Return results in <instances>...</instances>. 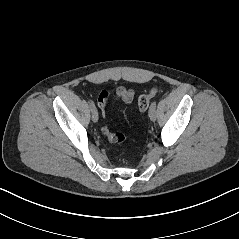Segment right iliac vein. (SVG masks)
<instances>
[{
  "label": "right iliac vein",
  "instance_id": "right-iliac-vein-1",
  "mask_svg": "<svg viewBox=\"0 0 239 239\" xmlns=\"http://www.w3.org/2000/svg\"><path fill=\"white\" fill-rule=\"evenodd\" d=\"M91 117L94 122L98 121V112L96 109L91 110Z\"/></svg>",
  "mask_w": 239,
  "mask_h": 239
}]
</instances>
